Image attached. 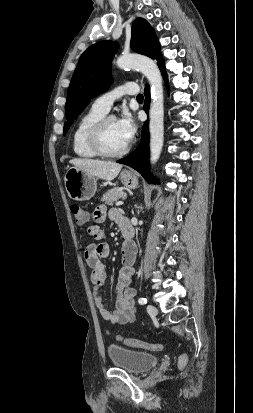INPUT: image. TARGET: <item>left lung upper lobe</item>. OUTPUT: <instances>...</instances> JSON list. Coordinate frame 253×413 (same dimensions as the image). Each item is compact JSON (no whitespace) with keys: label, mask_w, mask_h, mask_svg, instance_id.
Masks as SVG:
<instances>
[{"label":"left lung upper lobe","mask_w":253,"mask_h":413,"mask_svg":"<svg viewBox=\"0 0 253 413\" xmlns=\"http://www.w3.org/2000/svg\"><path fill=\"white\" fill-rule=\"evenodd\" d=\"M130 47L137 53L156 59L158 66L163 62L155 31L145 19L137 18L133 22ZM116 48L117 45L111 41H101L81 55L68 88L65 104L67 122L63 134L91 98L109 88L112 82L110 64Z\"/></svg>","instance_id":"1"}]
</instances>
